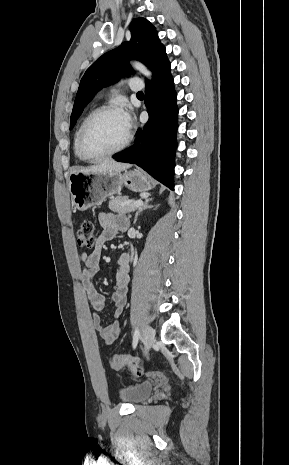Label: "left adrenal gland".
<instances>
[{"mask_svg": "<svg viewBox=\"0 0 289 465\" xmlns=\"http://www.w3.org/2000/svg\"><path fill=\"white\" fill-rule=\"evenodd\" d=\"M150 201H152V198H146L144 203L138 208L136 214H135V217H134V222L133 224L136 223L137 221V218H138V215L143 211V210H146V209H149V208H152L153 205H150Z\"/></svg>", "mask_w": 289, "mask_h": 465, "instance_id": "a2214340", "label": "left adrenal gland"}]
</instances>
